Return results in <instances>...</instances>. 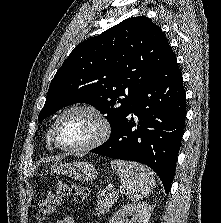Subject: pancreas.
<instances>
[{"instance_id":"1","label":"pancreas","mask_w":221,"mask_h":223,"mask_svg":"<svg viewBox=\"0 0 221 223\" xmlns=\"http://www.w3.org/2000/svg\"><path fill=\"white\" fill-rule=\"evenodd\" d=\"M118 195L116 193L106 194L102 197L101 200L97 202L96 211L99 213H95V215L105 214L109 211V208L113 206V204L117 201Z\"/></svg>"}]
</instances>
